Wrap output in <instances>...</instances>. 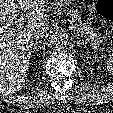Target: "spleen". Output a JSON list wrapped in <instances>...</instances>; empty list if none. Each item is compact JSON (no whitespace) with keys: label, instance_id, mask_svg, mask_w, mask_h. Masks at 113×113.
<instances>
[{"label":"spleen","instance_id":"spleen-1","mask_svg":"<svg viewBox=\"0 0 113 113\" xmlns=\"http://www.w3.org/2000/svg\"><path fill=\"white\" fill-rule=\"evenodd\" d=\"M106 69L113 75V54L111 55L110 60L107 61Z\"/></svg>","mask_w":113,"mask_h":113}]
</instances>
